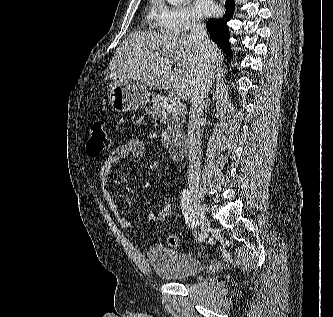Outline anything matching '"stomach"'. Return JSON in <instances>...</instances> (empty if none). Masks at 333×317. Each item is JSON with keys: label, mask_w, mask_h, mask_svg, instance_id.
<instances>
[{"label": "stomach", "mask_w": 333, "mask_h": 317, "mask_svg": "<svg viewBox=\"0 0 333 317\" xmlns=\"http://www.w3.org/2000/svg\"><path fill=\"white\" fill-rule=\"evenodd\" d=\"M108 98L115 111L123 112L145 107L150 94L143 84L132 78H122L109 84Z\"/></svg>", "instance_id": "1"}]
</instances>
